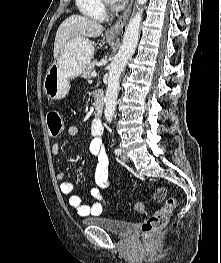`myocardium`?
Segmentation results:
<instances>
[{"instance_id": "1", "label": "myocardium", "mask_w": 221, "mask_h": 263, "mask_svg": "<svg viewBox=\"0 0 221 263\" xmlns=\"http://www.w3.org/2000/svg\"><path fill=\"white\" fill-rule=\"evenodd\" d=\"M102 2H103L104 4H109V3H110V0H102Z\"/></svg>"}]
</instances>
